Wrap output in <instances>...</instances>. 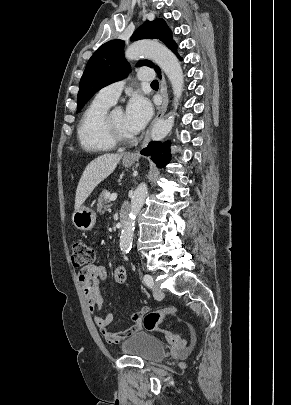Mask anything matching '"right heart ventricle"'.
<instances>
[{"mask_svg":"<svg viewBox=\"0 0 291 405\" xmlns=\"http://www.w3.org/2000/svg\"><path fill=\"white\" fill-rule=\"evenodd\" d=\"M112 104L94 98L84 110L77 128V137L82 149L92 153L108 152L115 145L105 129V118Z\"/></svg>","mask_w":291,"mask_h":405,"instance_id":"obj_1","label":"right heart ventricle"}]
</instances>
